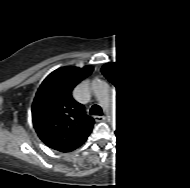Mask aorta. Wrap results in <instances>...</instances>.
Instances as JSON below:
<instances>
[{"mask_svg":"<svg viewBox=\"0 0 190 188\" xmlns=\"http://www.w3.org/2000/svg\"><path fill=\"white\" fill-rule=\"evenodd\" d=\"M100 98H101V102L103 106L108 112L109 120L111 124L116 125V98L115 96L108 89L103 88Z\"/></svg>","mask_w":190,"mask_h":188,"instance_id":"aorta-1","label":"aorta"}]
</instances>
